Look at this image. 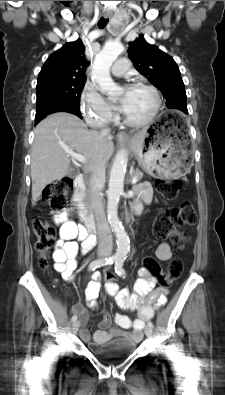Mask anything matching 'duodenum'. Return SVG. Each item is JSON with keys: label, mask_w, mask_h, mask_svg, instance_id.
Wrapping results in <instances>:
<instances>
[{"label": "duodenum", "mask_w": 225, "mask_h": 395, "mask_svg": "<svg viewBox=\"0 0 225 395\" xmlns=\"http://www.w3.org/2000/svg\"><path fill=\"white\" fill-rule=\"evenodd\" d=\"M73 201L77 206L82 221L85 223L88 231L90 233H94L96 230L95 221L85 205V181L81 175L77 176L75 179V193Z\"/></svg>", "instance_id": "obj_1"}]
</instances>
